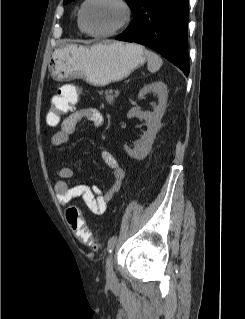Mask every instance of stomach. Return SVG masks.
Wrapping results in <instances>:
<instances>
[{"mask_svg": "<svg viewBox=\"0 0 245 319\" xmlns=\"http://www.w3.org/2000/svg\"><path fill=\"white\" fill-rule=\"evenodd\" d=\"M145 61L143 47L134 43L67 44L52 53L49 72L56 81L82 78L94 86H105L126 78Z\"/></svg>", "mask_w": 245, "mask_h": 319, "instance_id": "stomach-1", "label": "stomach"}]
</instances>
